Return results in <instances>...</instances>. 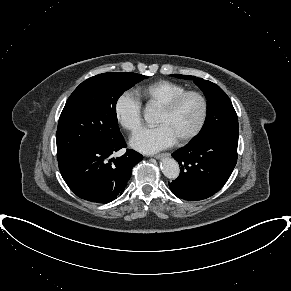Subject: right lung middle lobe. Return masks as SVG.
<instances>
[{
    "mask_svg": "<svg viewBox=\"0 0 291 291\" xmlns=\"http://www.w3.org/2000/svg\"><path fill=\"white\" fill-rule=\"evenodd\" d=\"M146 78L132 72H111L82 82L68 98L59 118L58 161L79 149L106 145L121 138L117 100L124 91Z\"/></svg>",
    "mask_w": 291,
    "mask_h": 291,
    "instance_id": "right-lung-middle-lobe-1",
    "label": "right lung middle lobe"
}]
</instances>
